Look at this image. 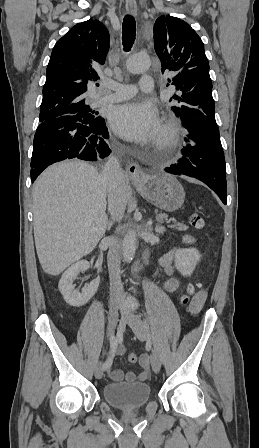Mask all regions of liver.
<instances>
[{"mask_svg":"<svg viewBox=\"0 0 259 448\" xmlns=\"http://www.w3.org/2000/svg\"><path fill=\"white\" fill-rule=\"evenodd\" d=\"M34 240L46 274L59 276L93 252L107 228L105 184L82 160L49 166L33 184Z\"/></svg>","mask_w":259,"mask_h":448,"instance_id":"obj_1","label":"liver"}]
</instances>
